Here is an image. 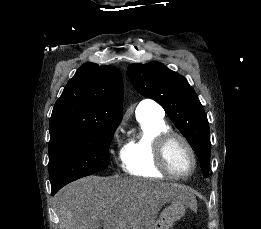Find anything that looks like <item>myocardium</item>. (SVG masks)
Segmentation results:
<instances>
[{"label":"myocardium","instance_id":"f54148a6","mask_svg":"<svg viewBox=\"0 0 261 229\" xmlns=\"http://www.w3.org/2000/svg\"><path fill=\"white\" fill-rule=\"evenodd\" d=\"M175 141L182 142L187 148L191 156V161H192L191 167L185 173L175 172L169 164L168 150L171 144L174 143ZM155 158L161 170L165 172L167 175H169L170 177L176 179H183L189 177L194 172L197 165L196 153L189 140L185 138L183 135L173 131L165 132L157 138L155 144Z\"/></svg>","mask_w":261,"mask_h":229}]
</instances>
